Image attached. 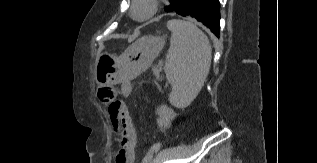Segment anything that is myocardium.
<instances>
[{
    "label": "myocardium",
    "mask_w": 317,
    "mask_h": 163,
    "mask_svg": "<svg viewBox=\"0 0 317 163\" xmlns=\"http://www.w3.org/2000/svg\"><path fill=\"white\" fill-rule=\"evenodd\" d=\"M143 4L146 7V12L143 15L138 16L136 14L137 7ZM158 9L157 0H133L131 5V17L139 22H144L152 18Z\"/></svg>",
    "instance_id": "1"
}]
</instances>
